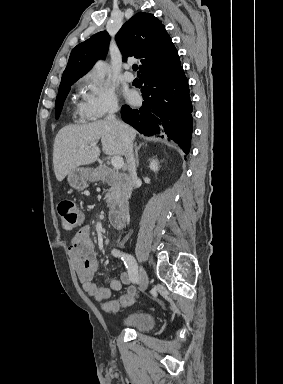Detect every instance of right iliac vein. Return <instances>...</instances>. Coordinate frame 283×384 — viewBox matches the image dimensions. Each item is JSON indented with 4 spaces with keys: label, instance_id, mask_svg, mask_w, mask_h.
<instances>
[{
    "label": "right iliac vein",
    "instance_id": "right-iliac-vein-1",
    "mask_svg": "<svg viewBox=\"0 0 283 384\" xmlns=\"http://www.w3.org/2000/svg\"><path fill=\"white\" fill-rule=\"evenodd\" d=\"M139 282L140 289L142 292H144L148 287L149 278L145 269L142 266H139Z\"/></svg>",
    "mask_w": 283,
    "mask_h": 384
}]
</instances>
